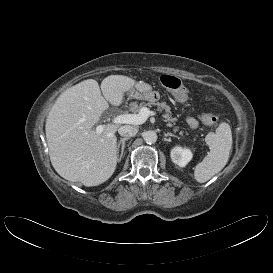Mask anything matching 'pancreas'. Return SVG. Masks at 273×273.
I'll return each instance as SVG.
<instances>
[{"label":"pancreas","mask_w":273,"mask_h":273,"mask_svg":"<svg viewBox=\"0 0 273 273\" xmlns=\"http://www.w3.org/2000/svg\"><path fill=\"white\" fill-rule=\"evenodd\" d=\"M152 106H157V110L158 111H164L163 114V118H165V122H167L168 126H173L175 125V122L177 121L176 118L172 117V112L170 110V107L165 103V102H141V103H137V102H132L129 105V111H131L132 113L136 114L139 113V111L143 108V107H152ZM174 131H178V128H175ZM183 132H180V134H182Z\"/></svg>","instance_id":"pancreas-1"}]
</instances>
